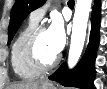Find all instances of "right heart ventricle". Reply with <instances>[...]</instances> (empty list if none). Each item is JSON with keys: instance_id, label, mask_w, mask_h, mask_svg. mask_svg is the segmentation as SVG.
Segmentation results:
<instances>
[{"instance_id": "e07e8e85", "label": "right heart ventricle", "mask_w": 107, "mask_h": 89, "mask_svg": "<svg viewBox=\"0 0 107 89\" xmlns=\"http://www.w3.org/2000/svg\"><path fill=\"white\" fill-rule=\"evenodd\" d=\"M37 27L38 22L30 18L17 34L11 47V65L13 71L17 76L23 79H33L40 74L39 72L32 70L25 61L26 43Z\"/></svg>"}]
</instances>
